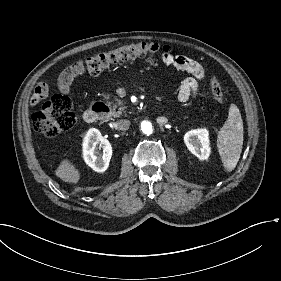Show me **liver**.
<instances>
[{
  "mask_svg": "<svg viewBox=\"0 0 281 281\" xmlns=\"http://www.w3.org/2000/svg\"><path fill=\"white\" fill-rule=\"evenodd\" d=\"M54 174L63 182L77 184L82 177L81 171L69 159H61L59 165L56 167Z\"/></svg>",
  "mask_w": 281,
  "mask_h": 281,
  "instance_id": "6515ba94",
  "label": "liver"
}]
</instances>
